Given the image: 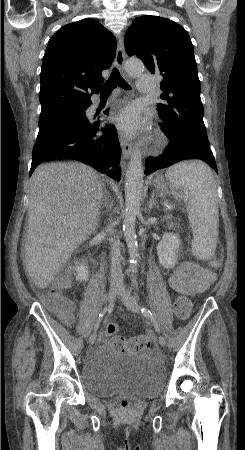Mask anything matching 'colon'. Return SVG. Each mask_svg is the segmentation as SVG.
I'll list each match as a JSON object with an SVG mask.
<instances>
[{"mask_svg": "<svg viewBox=\"0 0 245 450\" xmlns=\"http://www.w3.org/2000/svg\"><path fill=\"white\" fill-rule=\"evenodd\" d=\"M210 265L213 268L218 269L221 266V259L217 257L212 258L210 260ZM71 279V274H62L49 282L43 289L45 305L53 313L57 314L65 324H70L72 322L73 303L63 295L62 291L69 287ZM191 307L192 303L186 296L180 295L174 301L175 315L181 320H185L189 317ZM117 329L118 327L115 324H109L106 327V332L110 336L109 342L114 349L135 352L150 346V338L148 336L140 335L128 340L124 337L114 335ZM127 405L128 400L122 399L121 406L125 408Z\"/></svg>", "mask_w": 245, "mask_h": 450, "instance_id": "colon-1", "label": "colon"}]
</instances>
